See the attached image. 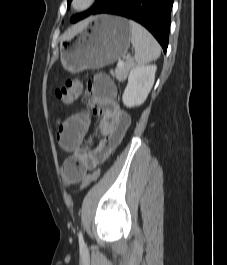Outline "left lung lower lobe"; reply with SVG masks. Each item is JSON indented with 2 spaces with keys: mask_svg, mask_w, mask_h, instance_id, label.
Masks as SVG:
<instances>
[{
  "mask_svg": "<svg viewBox=\"0 0 227 265\" xmlns=\"http://www.w3.org/2000/svg\"><path fill=\"white\" fill-rule=\"evenodd\" d=\"M173 0H107L92 14H114L137 21L167 50Z\"/></svg>",
  "mask_w": 227,
  "mask_h": 265,
  "instance_id": "1",
  "label": "left lung lower lobe"
}]
</instances>
